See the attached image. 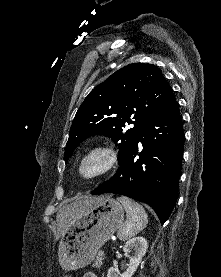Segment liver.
I'll list each match as a JSON object with an SVG mask.
<instances>
[{"label": "liver", "mask_w": 221, "mask_h": 277, "mask_svg": "<svg viewBox=\"0 0 221 277\" xmlns=\"http://www.w3.org/2000/svg\"><path fill=\"white\" fill-rule=\"evenodd\" d=\"M100 197H89L83 200L65 205L57 214V231L54 233V239L58 240L67 230L69 221L76 216L83 208L93 206Z\"/></svg>", "instance_id": "1"}]
</instances>
